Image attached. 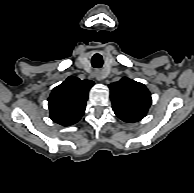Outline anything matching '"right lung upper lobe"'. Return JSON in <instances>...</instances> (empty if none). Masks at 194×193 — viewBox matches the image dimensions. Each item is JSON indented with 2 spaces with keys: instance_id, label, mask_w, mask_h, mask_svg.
Masks as SVG:
<instances>
[{
  "instance_id": "obj_1",
  "label": "right lung upper lobe",
  "mask_w": 194,
  "mask_h": 193,
  "mask_svg": "<svg viewBox=\"0 0 194 193\" xmlns=\"http://www.w3.org/2000/svg\"><path fill=\"white\" fill-rule=\"evenodd\" d=\"M93 85L91 80L70 76L55 87L48 99L51 119L62 126H70L79 121Z\"/></svg>"
}]
</instances>
